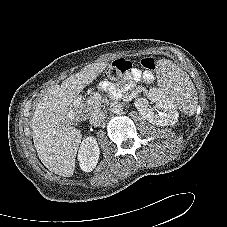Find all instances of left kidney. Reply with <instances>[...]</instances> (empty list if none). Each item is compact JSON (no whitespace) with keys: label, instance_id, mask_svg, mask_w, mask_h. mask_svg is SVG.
<instances>
[{"label":"left kidney","instance_id":"obj_1","mask_svg":"<svg viewBox=\"0 0 227 227\" xmlns=\"http://www.w3.org/2000/svg\"><path fill=\"white\" fill-rule=\"evenodd\" d=\"M148 99L155 104L157 112L149 105ZM147 98H137L134 102L139 114L148 122L159 125H174L178 120V112L173 102L159 89L151 88Z\"/></svg>","mask_w":227,"mask_h":227}]
</instances>
